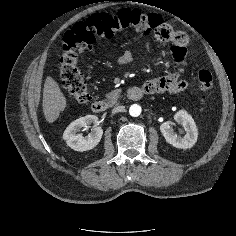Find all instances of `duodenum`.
<instances>
[{
    "mask_svg": "<svg viewBox=\"0 0 236 236\" xmlns=\"http://www.w3.org/2000/svg\"><path fill=\"white\" fill-rule=\"evenodd\" d=\"M145 94L146 91L142 86H133L127 91V97L129 100L132 101L140 100ZM118 102V98H115L111 101L96 100L91 103V109L96 113H102L108 110L111 106L117 104Z\"/></svg>",
    "mask_w": 236,
    "mask_h": 236,
    "instance_id": "obj_1",
    "label": "duodenum"
}]
</instances>
